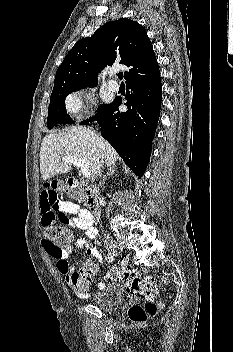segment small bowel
Listing matches in <instances>:
<instances>
[{"label": "small bowel", "mask_w": 233, "mask_h": 352, "mask_svg": "<svg viewBox=\"0 0 233 352\" xmlns=\"http://www.w3.org/2000/svg\"><path fill=\"white\" fill-rule=\"evenodd\" d=\"M59 189L60 184L57 181L46 182L42 187L40 194L42 223L46 221H59L62 224L83 231L86 238L77 240L73 247L58 248L46 240H43L42 244L45 252L56 260V267L58 271L65 276L66 282L71 290L79 298L86 299L89 297V293H77L71 283V276L75 269L69 262V255L72 252L85 249L88 256L101 264V255L97 248L93 245L97 231L93 227V218L90 212L86 209H81L73 202L61 201L57 193ZM98 287L102 289L104 284L99 283Z\"/></svg>", "instance_id": "1"}]
</instances>
